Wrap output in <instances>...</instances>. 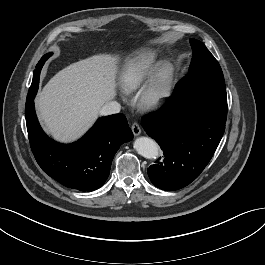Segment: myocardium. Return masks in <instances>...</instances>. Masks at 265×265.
<instances>
[{"label": "myocardium", "instance_id": "obj_1", "mask_svg": "<svg viewBox=\"0 0 265 265\" xmlns=\"http://www.w3.org/2000/svg\"><path fill=\"white\" fill-rule=\"evenodd\" d=\"M173 79V66L167 61L157 63L137 95L138 108L143 111L159 109L170 96Z\"/></svg>", "mask_w": 265, "mask_h": 265}]
</instances>
